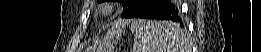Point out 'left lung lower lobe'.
<instances>
[{"label": "left lung lower lobe", "instance_id": "1", "mask_svg": "<svg viewBox=\"0 0 261 52\" xmlns=\"http://www.w3.org/2000/svg\"><path fill=\"white\" fill-rule=\"evenodd\" d=\"M136 17L153 18L168 21L171 27H173L174 29L170 30V33L168 35L175 33V29H177L179 25H182L181 19L178 15V9L175 7V5L171 3L170 0H154Z\"/></svg>", "mask_w": 261, "mask_h": 52}]
</instances>
